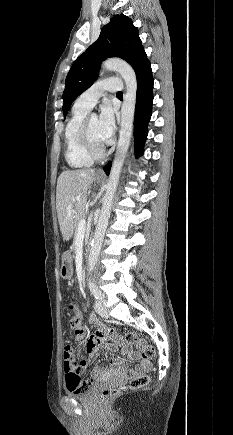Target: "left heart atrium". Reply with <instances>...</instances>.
I'll return each instance as SVG.
<instances>
[{
	"instance_id": "left-heart-atrium-1",
	"label": "left heart atrium",
	"mask_w": 233,
	"mask_h": 435,
	"mask_svg": "<svg viewBox=\"0 0 233 435\" xmlns=\"http://www.w3.org/2000/svg\"><path fill=\"white\" fill-rule=\"evenodd\" d=\"M98 123L102 141L105 144L109 143L115 131V119L114 112L108 103L102 107Z\"/></svg>"
}]
</instances>
